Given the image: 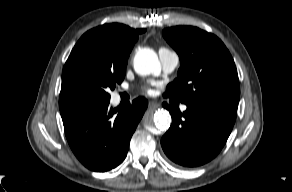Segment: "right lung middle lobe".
<instances>
[{"label": "right lung middle lobe", "instance_id": "right-lung-middle-lobe-1", "mask_svg": "<svg viewBox=\"0 0 292 192\" xmlns=\"http://www.w3.org/2000/svg\"><path fill=\"white\" fill-rule=\"evenodd\" d=\"M126 65L113 60L93 39L81 37L64 65L60 98L109 101L108 91L123 81Z\"/></svg>", "mask_w": 292, "mask_h": 192}]
</instances>
